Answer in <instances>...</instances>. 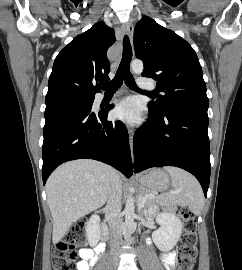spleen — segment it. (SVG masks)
Instances as JSON below:
<instances>
[{"mask_svg":"<svg viewBox=\"0 0 242 270\" xmlns=\"http://www.w3.org/2000/svg\"><path fill=\"white\" fill-rule=\"evenodd\" d=\"M165 169L171 176L173 189L161 194L158 201L164 204L187 206L194 214L199 215L204 207V195L197 179L177 167Z\"/></svg>","mask_w":242,"mask_h":270,"instance_id":"3e777b00","label":"spleen"}]
</instances>
